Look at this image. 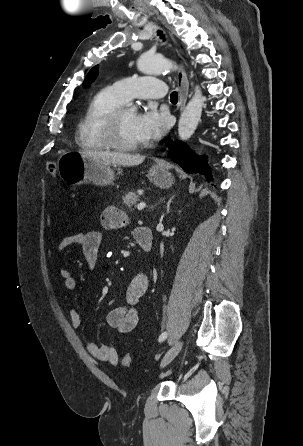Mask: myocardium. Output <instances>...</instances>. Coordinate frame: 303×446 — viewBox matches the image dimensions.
Here are the masks:
<instances>
[{"mask_svg":"<svg viewBox=\"0 0 303 446\" xmlns=\"http://www.w3.org/2000/svg\"><path fill=\"white\" fill-rule=\"evenodd\" d=\"M126 108L119 107L112 111L105 120L103 133L104 138L109 146V148L118 150V151H134L140 149L143 144L142 143H126L123 142L120 138V123L122 114Z\"/></svg>","mask_w":303,"mask_h":446,"instance_id":"f54148a6","label":"myocardium"}]
</instances>
